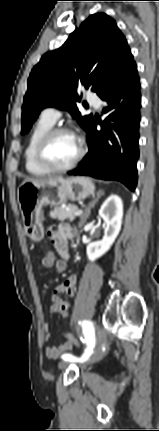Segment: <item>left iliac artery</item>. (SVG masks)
<instances>
[{
	"mask_svg": "<svg viewBox=\"0 0 159 431\" xmlns=\"http://www.w3.org/2000/svg\"><path fill=\"white\" fill-rule=\"evenodd\" d=\"M82 326L84 329L85 339H86L88 347L86 348L85 352L83 353V355L80 358H77L71 354H65L62 356L63 360L83 363L93 353V348L95 345L93 324L90 321H83Z\"/></svg>",
	"mask_w": 159,
	"mask_h": 431,
	"instance_id": "1",
	"label": "left iliac artery"
}]
</instances>
